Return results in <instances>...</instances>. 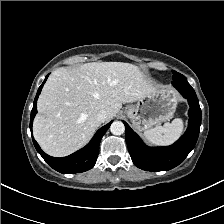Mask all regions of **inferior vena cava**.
Masks as SVG:
<instances>
[{"instance_id": "obj_1", "label": "inferior vena cava", "mask_w": 224, "mask_h": 224, "mask_svg": "<svg viewBox=\"0 0 224 224\" xmlns=\"http://www.w3.org/2000/svg\"><path fill=\"white\" fill-rule=\"evenodd\" d=\"M108 118V113L106 110H100L97 114V120L100 122V123H103L107 120Z\"/></svg>"}]
</instances>
